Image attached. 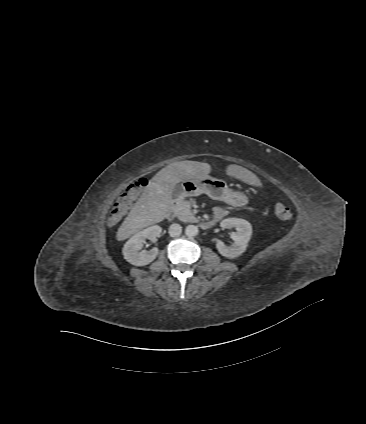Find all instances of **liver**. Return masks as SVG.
<instances>
[{"mask_svg":"<svg viewBox=\"0 0 366 424\" xmlns=\"http://www.w3.org/2000/svg\"><path fill=\"white\" fill-rule=\"evenodd\" d=\"M211 172L208 163L180 161L161 169L147 184L142 195L119 227L116 237L123 241L138 231L164 220L173 207V189L184 180H195ZM226 174L246 184L261 186L260 179L238 165H229Z\"/></svg>","mask_w":366,"mask_h":424,"instance_id":"1","label":"liver"}]
</instances>
